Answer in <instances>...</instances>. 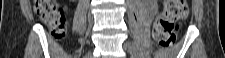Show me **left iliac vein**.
Listing matches in <instances>:
<instances>
[{
  "label": "left iliac vein",
  "instance_id": "1",
  "mask_svg": "<svg viewBox=\"0 0 225 58\" xmlns=\"http://www.w3.org/2000/svg\"><path fill=\"white\" fill-rule=\"evenodd\" d=\"M123 47L126 51L129 52L132 58H141V55L137 47L133 43L127 41L124 43Z\"/></svg>",
  "mask_w": 225,
  "mask_h": 58
}]
</instances>
